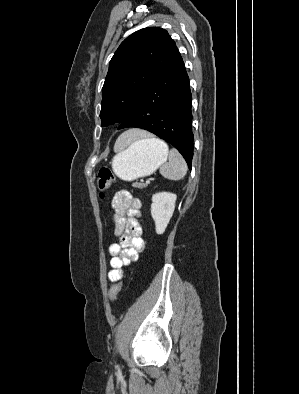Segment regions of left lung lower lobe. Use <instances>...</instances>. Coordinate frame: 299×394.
I'll return each instance as SVG.
<instances>
[{"label":"left lung lower lobe","mask_w":299,"mask_h":394,"mask_svg":"<svg viewBox=\"0 0 299 394\" xmlns=\"http://www.w3.org/2000/svg\"><path fill=\"white\" fill-rule=\"evenodd\" d=\"M189 78L179 56L148 87L118 129L141 128L172 144L191 169L193 133Z\"/></svg>","instance_id":"left-lung-lower-lobe-1"}]
</instances>
